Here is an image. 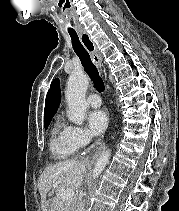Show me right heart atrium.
Masks as SVG:
<instances>
[{
  "mask_svg": "<svg viewBox=\"0 0 179 211\" xmlns=\"http://www.w3.org/2000/svg\"><path fill=\"white\" fill-rule=\"evenodd\" d=\"M66 134L68 141L75 150L87 145L91 140L89 132L80 126H67Z\"/></svg>",
  "mask_w": 179,
  "mask_h": 211,
  "instance_id": "d8ad5b80",
  "label": "right heart atrium"
}]
</instances>
